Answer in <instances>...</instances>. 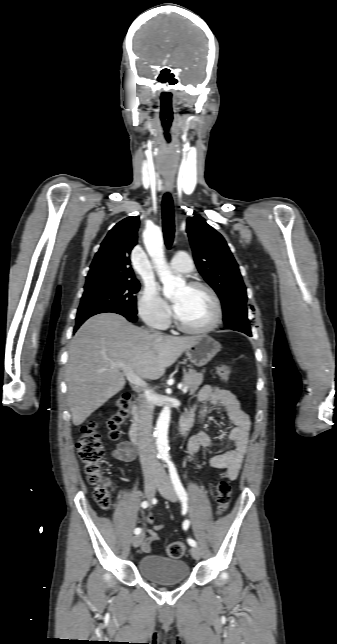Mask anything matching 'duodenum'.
Returning <instances> with one entry per match:
<instances>
[{"label":"duodenum","instance_id":"410a0bca","mask_svg":"<svg viewBox=\"0 0 337 644\" xmlns=\"http://www.w3.org/2000/svg\"><path fill=\"white\" fill-rule=\"evenodd\" d=\"M191 424H192V419L189 416L183 415L181 417L179 421V433L182 437H186L188 435ZM141 426H142L141 411L137 404H133L132 423L129 429V438L133 446H137L139 444L140 435H141Z\"/></svg>","mask_w":337,"mask_h":644}]
</instances>
